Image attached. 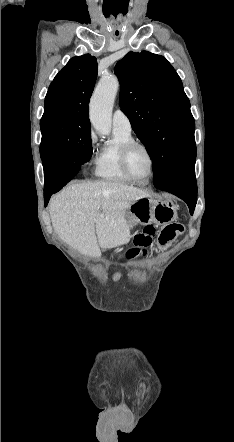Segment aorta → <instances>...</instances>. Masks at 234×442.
<instances>
[{
    "label": "aorta",
    "mask_w": 234,
    "mask_h": 442,
    "mask_svg": "<svg viewBox=\"0 0 234 442\" xmlns=\"http://www.w3.org/2000/svg\"><path fill=\"white\" fill-rule=\"evenodd\" d=\"M118 89V79L115 76H105L93 92L89 118L98 134L108 135L111 132L112 108Z\"/></svg>",
    "instance_id": "obj_1"
}]
</instances>
